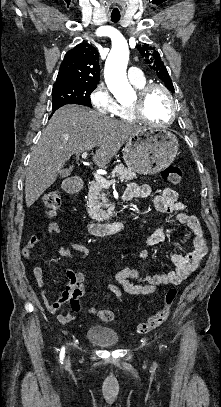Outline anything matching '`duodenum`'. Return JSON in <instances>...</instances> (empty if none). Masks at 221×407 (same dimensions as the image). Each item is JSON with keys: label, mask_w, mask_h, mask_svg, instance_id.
<instances>
[{"label": "duodenum", "mask_w": 221, "mask_h": 407, "mask_svg": "<svg viewBox=\"0 0 221 407\" xmlns=\"http://www.w3.org/2000/svg\"><path fill=\"white\" fill-rule=\"evenodd\" d=\"M84 187L83 183H70L66 185V189L69 193L75 194L82 191ZM127 226L126 219H120L109 223H91L88 226V231L91 235L104 236L110 234H116L123 231Z\"/></svg>", "instance_id": "1"}]
</instances>
